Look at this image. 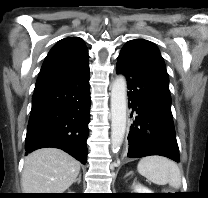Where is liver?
<instances>
[{
    "label": "liver",
    "mask_w": 208,
    "mask_h": 198,
    "mask_svg": "<svg viewBox=\"0 0 208 198\" xmlns=\"http://www.w3.org/2000/svg\"><path fill=\"white\" fill-rule=\"evenodd\" d=\"M80 172V163L56 148H42L25 158L21 177L24 193H63Z\"/></svg>",
    "instance_id": "obj_1"
}]
</instances>
